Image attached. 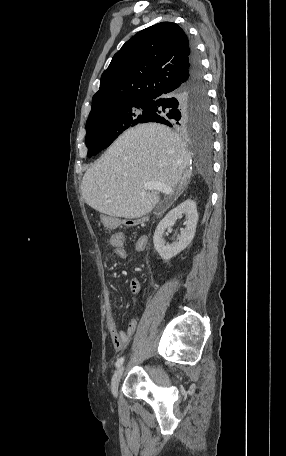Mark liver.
<instances>
[{"instance_id": "1", "label": "liver", "mask_w": 286, "mask_h": 456, "mask_svg": "<svg viewBox=\"0 0 286 456\" xmlns=\"http://www.w3.org/2000/svg\"><path fill=\"white\" fill-rule=\"evenodd\" d=\"M191 155L181 137L157 123L124 132L84 174L82 195L93 209L112 217L139 218L159 202L143 191L158 181L183 188L190 176Z\"/></svg>"}]
</instances>
